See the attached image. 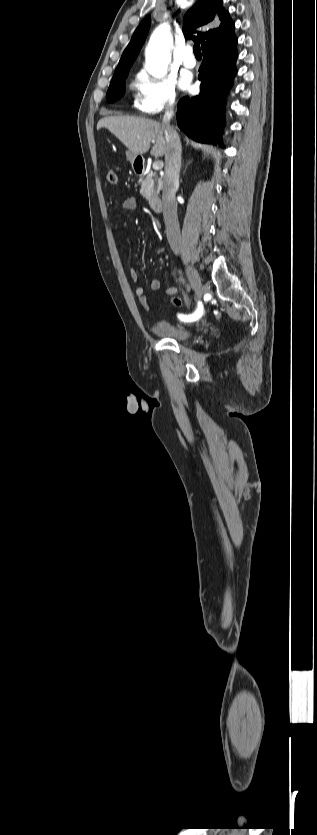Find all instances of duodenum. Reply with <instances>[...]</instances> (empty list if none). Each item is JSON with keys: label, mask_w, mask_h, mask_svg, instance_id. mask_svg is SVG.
Masks as SVG:
<instances>
[{"label": "duodenum", "mask_w": 317, "mask_h": 835, "mask_svg": "<svg viewBox=\"0 0 317 835\" xmlns=\"http://www.w3.org/2000/svg\"><path fill=\"white\" fill-rule=\"evenodd\" d=\"M135 171L138 174H143L145 171V166L142 161H136L134 164ZM150 208L155 211H161L162 209V199L159 195H153L148 200Z\"/></svg>", "instance_id": "duodenum-1"}]
</instances>
